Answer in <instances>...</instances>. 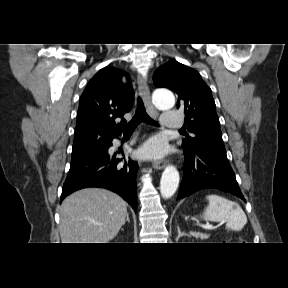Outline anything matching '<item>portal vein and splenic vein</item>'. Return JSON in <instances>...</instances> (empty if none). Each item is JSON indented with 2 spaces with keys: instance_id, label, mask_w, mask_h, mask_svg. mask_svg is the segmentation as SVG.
I'll use <instances>...</instances> for the list:
<instances>
[{
  "instance_id": "1",
  "label": "portal vein and splenic vein",
  "mask_w": 288,
  "mask_h": 288,
  "mask_svg": "<svg viewBox=\"0 0 288 288\" xmlns=\"http://www.w3.org/2000/svg\"><path fill=\"white\" fill-rule=\"evenodd\" d=\"M202 228L204 229H212L213 225L210 223H206V224H199Z\"/></svg>"
}]
</instances>
